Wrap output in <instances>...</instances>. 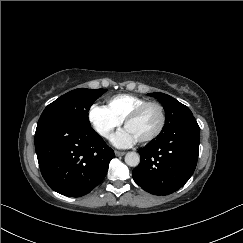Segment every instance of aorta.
<instances>
[{
    "label": "aorta",
    "mask_w": 243,
    "mask_h": 243,
    "mask_svg": "<svg viewBox=\"0 0 243 243\" xmlns=\"http://www.w3.org/2000/svg\"><path fill=\"white\" fill-rule=\"evenodd\" d=\"M125 163L128 166L136 167L140 163V156L136 152H128L125 155Z\"/></svg>",
    "instance_id": "aorta-1"
}]
</instances>
